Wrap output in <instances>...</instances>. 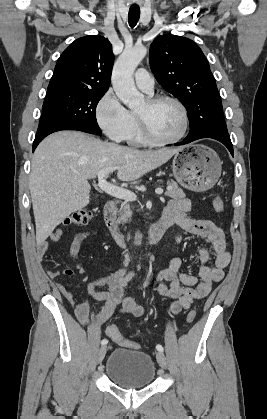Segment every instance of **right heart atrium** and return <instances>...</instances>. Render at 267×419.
Returning a JSON list of instances; mask_svg holds the SVG:
<instances>
[{
  "label": "right heart atrium",
  "mask_w": 267,
  "mask_h": 419,
  "mask_svg": "<svg viewBox=\"0 0 267 419\" xmlns=\"http://www.w3.org/2000/svg\"><path fill=\"white\" fill-rule=\"evenodd\" d=\"M95 117L100 129L111 140H126L132 128L131 113L112 91L106 92L98 101Z\"/></svg>",
  "instance_id": "1"
}]
</instances>
